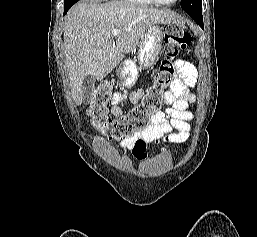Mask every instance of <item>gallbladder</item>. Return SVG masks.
I'll use <instances>...</instances> for the list:
<instances>
[{
    "mask_svg": "<svg viewBox=\"0 0 257 237\" xmlns=\"http://www.w3.org/2000/svg\"><path fill=\"white\" fill-rule=\"evenodd\" d=\"M95 80H96L95 77L92 75L86 76L83 80L82 92H83V99L85 101H89L92 96Z\"/></svg>",
    "mask_w": 257,
    "mask_h": 237,
    "instance_id": "gallbladder-1",
    "label": "gallbladder"
}]
</instances>
